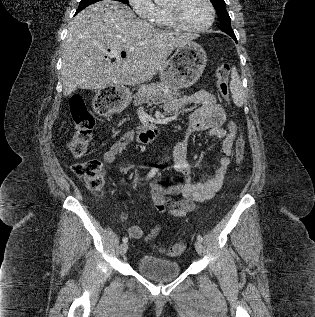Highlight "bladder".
<instances>
[{
	"label": "bladder",
	"instance_id": "bladder-1",
	"mask_svg": "<svg viewBox=\"0 0 315 317\" xmlns=\"http://www.w3.org/2000/svg\"><path fill=\"white\" fill-rule=\"evenodd\" d=\"M136 268L144 276L157 281L173 279L181 273L178 262L151 255L140 257Z\"/></svg>",
	"mask_w": 315,
	"mask_h": 317
}]
</instances>
